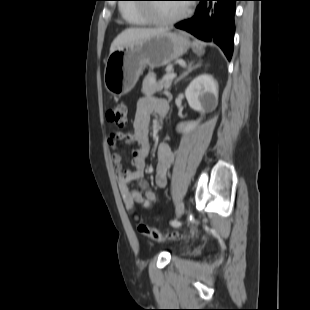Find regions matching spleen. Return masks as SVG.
I'll return each instance as SVG.
<instances>
[{
    "label": "spleen",
    "instance_id": "3e777b00",
    "mask_svg": "<svg viewBox=\"0 0 310 310\" xmlns=\"http://www.w3.org/2000/svg\"><path fill=\"white\" fill-rule=\"evenodd\" d=\"M198 53H199V54H201V53H202V51H201V50H199V51H198Z\"/></svg>",
    "mask_w": 310,
    "mask_h": 310
}]
</instances>
